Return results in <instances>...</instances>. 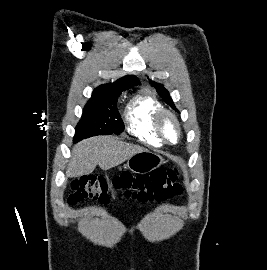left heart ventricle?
<instances>
[{
	"mask_svg": "<svg viewBox=\"0 0 267 270\" xmlns=\"http://www.w3.org/2000/svg\"><path fill=\"white\" fill-rule=\"evenodd\" d=\"M163 129L167 138L171 141H175L177 138V129L174 122L166 117L163 121Z\"/></svg>",
	"mask_w": 267,
	"mask_h": 270,
	"instance_id": "obj_1",
	"label": "left heart ventricle"
}]
</instances>
